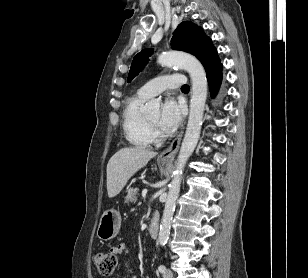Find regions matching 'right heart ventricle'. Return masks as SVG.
<instances>
[{
  "mask_svg": "<svg viewBox=\"0 0 308 278\" xmlns=\"http://www.w3.org/2000/svg\"><path fill=\"white\" fill-rule=\"evenodd\" d=\"M146 100L147 98L137 93L126 100L122 112L125 137L132 145L140 148H147L154 141L153 128L142 112Z\"/></svg>",
  "mask_w": 308,
  "mask_h": 278,
  "instance_id": "e07e8e85",
  "label": "right heart ventricle"
}]
</instances>
